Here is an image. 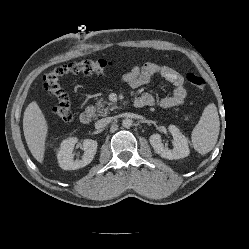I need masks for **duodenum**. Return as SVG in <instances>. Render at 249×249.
Segmentation results:
<instances>
[{
  "mask_svg": "<svg viewBox=\"0 0 249 249\" xmlns=\"http://www.w3.org/2000/svg\"><path fill=\"white\" fill-rule=\"evenodd\" d=\"M141 102L142 100H138L137 102H135V106L138 107L137 105H139ZM138 108H141V107H138ZM92 115H93V112L89 109L83 111L80 115V122L82 124H89L92 119Z\"/></svg>",
  "mask_w": 249,
  "mask_h": 249,
  "instance_id": "duodenum-1",
  "label": "duodenum"
}]
</instances>
